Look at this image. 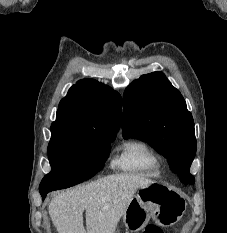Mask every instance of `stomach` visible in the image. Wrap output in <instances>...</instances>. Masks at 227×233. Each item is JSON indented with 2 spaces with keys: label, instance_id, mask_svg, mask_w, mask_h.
I'll use <instances>...</instances> for the list:
<instances>
[{
  "label": "stomach",
  "instance_id": "obj_1",
  "mask_svg": "<svg viewBox=\"0 0 227 233\" xmlns=\"http://www.w3.org/2000/svg\"><path fill=\"white\" fill-rule=\"evenodd\" d=\"M184 196L170 186L154 182L140 187L122 216L130 231L143 229L151 218L161 226L178 222L186 209Z\"/></svg>",
  "mask_w": 227,
  "mask_h": 233
}]
</instances>
